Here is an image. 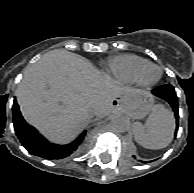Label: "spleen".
Returning <instances> with one entry per match:
<instances>
[{
	"label": "spleen",
	"mask_w": 194,
	"mask_h": 193,
	"mask_svg": "<svg viewBox=\"0 0 194 193\" xmlns=\"http://www.w3.org/2000/svg\"><path fill=\"white\" fill-rule=\"evenodd\" d=\"M174 117L171 111L157 104L143 125L135 122L133 133L135 141L147 149H162L170 144L174 133Z\"/></svg>",
	"instance_id": "1"
}]
</instances>
